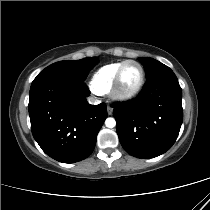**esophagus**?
Listing matches in <instances>:
<instances>
[{
    "label": "esophagus",
    "instance_id": "obj_1",
    "mask_svg": "<svg viewBox=\"0 0 210 210\" xmlns=\"http://www.w3.org/2000/svg\"><path fill=\"white\" fill-rule=\"evenodd\" d=\"M107 113L108 115H112L113 113V108L110 105L107 106Z\"/></svg>",
    "mask_w": 210,
    "mask_h": 210
}]
</instances>
